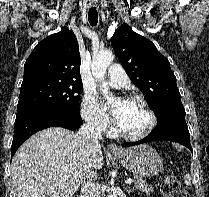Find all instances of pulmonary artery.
<instances>
[{"label": "pulmonary artery", "mask_w": 209, "mask_h": 197, "mask_svg": "<svg viewBox=\"0 0 209 197\" xmlns=\"http://www.w3.org/2000/svg\"><path fill=\"white\" fill-rule=\"evenodd\" d=\"M129 82L128 76L119 64H112L108 70L106 83L115 88L125 87Z\"/></svg>", "instance_id": "1"}]
</instances>
